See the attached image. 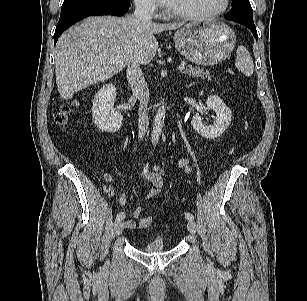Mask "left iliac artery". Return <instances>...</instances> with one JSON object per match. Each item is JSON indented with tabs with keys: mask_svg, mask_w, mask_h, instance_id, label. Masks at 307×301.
Wrapping results in <instances>:
<instances>
[{
	"mask_svg": "<svg viewBox=\"0 0 307 301\" xmlns=\"http://www.w3.org/2000/svg\"><path fill=\"white\" fill-rule=\"evenodd\" d=\"M185 218H186L187 220H193V219H194V216H193L191 213L187 212V213H185Z\"/></svg>",
	"mask_w": 307,
	"mask_h": 301,
	"instance_id": "obj_1",
	"label": "left iliac artery"
}]
</instances>
